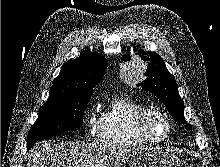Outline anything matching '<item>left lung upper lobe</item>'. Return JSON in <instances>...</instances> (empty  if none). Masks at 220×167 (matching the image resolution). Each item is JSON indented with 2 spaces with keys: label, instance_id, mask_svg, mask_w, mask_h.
Segmentation results:
<instances>
[{
  "label": "left lung upper lobe",
  "instance_id": "5c2ea615",
  "mask_svg": "<svg viewBox=\"0 0 220 167\" xmlns=\"http://www.w3.org/2000/svg\"><path fill=\"white\" fill-rule=\"evenodd\" d=\"M138 53L142 54V60L148 63L145 73L146 79L140 83V86L157 96L178 123L186 124L184 102L178 93L175 79L167 70L162 58L155 52L140 50ZM121 59L129 61L130 55H125ZM191 128L190 124H186V129L190 130Z\"/></svg>",
  "mask_w": 220,
  "mask_h": 167
}]
</instances>
